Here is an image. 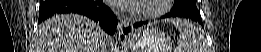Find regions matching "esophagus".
Wrapping results in <instances>:
<instances>
[{"label":"esophagus","mask_w":261,"mask_h":52,"mask_svg":"<svg viewBox=\"0 0 261 52\" xmlns=\"http://www.w3.org/2000/svg\"><path fill=\"white\" fill-rule=\"evenodd\" d=\"M118 31L120 37L128 38L131 35L133 29L129 21L122 19L118 25Z\"/></svg>","instance_id":"34e87169"}]
</instances>
